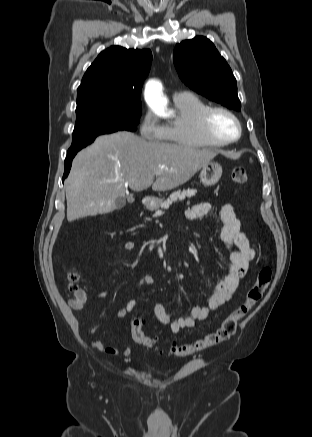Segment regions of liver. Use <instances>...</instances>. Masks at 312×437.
I'll list each match as a JSON object with an SVG mask.
<instances>
[{
    "mask_svg": "<svg viewBox=\"0 0 312 437\" xmlns=\"http://www.w3.org/2000/svg\"><path fill=\"white\" fill-rule=\"evenodd\" d=\"M217 154L187 145L148 142L130 132L99 136L72 162L65 181L67 219L72 222L114 211L117 199L125 198L126 186L137 192L150 186L154 191L176 188Z\"/></svg>",
    "mask_w": 312,
    "mask_h": 437,
    "instance_id": "1",
    "label": "liver"
}]
</instances>
